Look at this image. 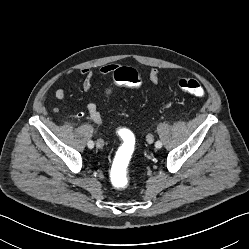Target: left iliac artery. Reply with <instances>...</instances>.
Here are the masks:
<instances>
[{
  "label": "left iliac artery",
  "instance_id": "44dca946",
  "mask_svg": "<svg viewBox=\"0 0 249 249\" xmlns=\"http://www.w3.org/2000/svg\"><path fill=\"white\" fill-rule=\"evenodd\" d=\"M155 147L156 148H161L162 147V143L160 141H156Z\"/></svg>",
  "mask_w": 249,
  "mask_h": 249
}]
</instances>
